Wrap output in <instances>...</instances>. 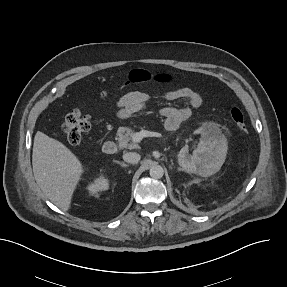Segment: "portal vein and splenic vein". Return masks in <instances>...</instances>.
<instances>
[{
	"label": "portal vein and splenic vein",
	"instance_id": "obj_1",
	"mask_svg": "<svg viewBox=\"0 0 287 287\" xmlns=\"http://www.w3.org/2000/svg\"><path fill=\"white\" fill-rule=\"evenodd\" d=\"M144 137H161V134L148 130H142L140 132L134 133L132 136V140L135 143H139Z\"/></svg>",
	"mask_w": 287,
	"mask_h": 287
}]
</instances>
